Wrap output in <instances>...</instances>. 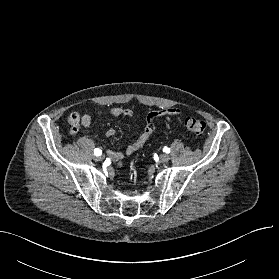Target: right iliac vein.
<instances>
[{"label": "right iliac vein", "mask_w": 279, "mask_h": 279, "mask_svg": "<svg viewBox=\"0 0 279 279\" xmlns=\"http://www.w3.org/2000/svg\"><path fill=\"white\" fill-rule=\"evenodd\" d=\"M103 159H104V156H102V155L95 157L96 161H102Z\"/></svg>", "instance_id": "obj_1"}]
</instances>
